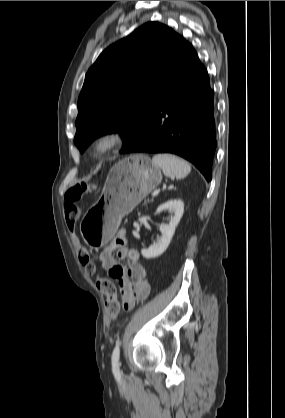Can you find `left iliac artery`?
I'll return each instance as SVG.
<instances>
[{
	"label": "left iliac artery",
	"mask_w": 285,
	"mask_h": 418,
	"mask_svg": "<svg viewBox=\"0 0 285 418\" xmlns=\"http://www.w3.org/2000/svg\"><path fill=\"white\" fill-rule=\"evenodd\" d=\"M120 343H116V346L112 353V372L115 377H121L120 371Z\"/></svg>",
	"instance_id": "left-iliac-artery-1"
}]
</instances>
